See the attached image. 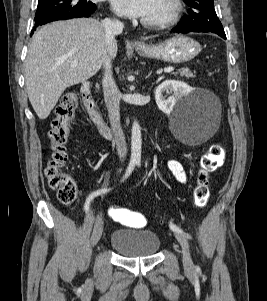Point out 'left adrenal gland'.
<instances>
[{"instance_id":"obj_1","label":"left adrenal gland","mask_w":267,"mask_h":301,"mask_svg":"<svg viewBox=\"0 0 267 301\" xmlns=\"http://www.w3.org/2000/svg\"><path fill=\"white\" fill-rule=\"evenodd\" d=\"M150 74H151V73H149L147 77H149V76H150Z\"/></svg>"}]
</instances>
